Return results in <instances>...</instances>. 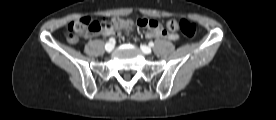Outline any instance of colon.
Returning <instances> with one entry per match:
<instances>
[{
    "label": "colon",
    "mask_w": 276,
    "mask_h": 120,
    "mask_svg": "<svg viewBox=\"0 0 276 120\" xmlns=\"http://www.w3.org/2000/svg\"><path fill=\"white\" fill-rule=\"evenodd\" d=\"M138 25L142 27H147L151 25L148 19L138 20ZM132 25L131 20L116 18L112 21L106 19L92 20L88 17L78 19L70 23L66 31V39L70 43H76L82 36L86 34H96L102 32H114L116 30H121L128 28ZM167 32H174L179 30L186 38H193L196 35V25L187 20H168L165 24Z\"/></svg>",
    "instance_id": "obj_1"
}]
</instances>
